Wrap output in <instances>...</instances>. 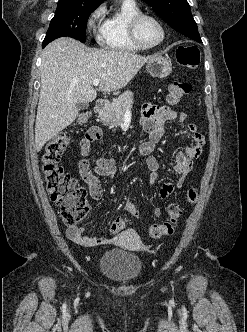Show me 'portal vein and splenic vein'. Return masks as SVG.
Instances as JSON below:
<instances>
[{
	"label": "portal vein and splenic vein",
	"mask_w": 247,
	"mask_h": 332,
	"mask_svg": "<svg viewBox=\"0 0 247 332\" xmlns=\"http://www.w3.org/2000/svg\"><path fill=\"white\" fill-rule=\"evenodd\" d=\"M99 83H100V80H99V79H95V80L93 81V85H94V86H98Z\"/></svg>",
	"instance_id": "obj_1"
}]
</instances>
